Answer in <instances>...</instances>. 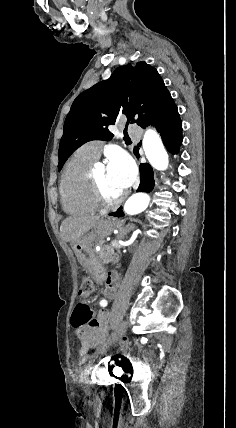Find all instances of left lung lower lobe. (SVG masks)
Segmentation results:
<instances>
[{"label": "left lung lower lobe", "instance_id": "0a47b994", "mask_svg": "<svg viewBox=\"0 0 236 428\" xmlns=\"http://www.w3.org/2000/svg\"><path fill=\"white\" fill-rule=\"evenodd\" d=\"M153 125L160 133L165 147L171 154L179 152L182 143V122L178 109L174 101L170 102L151 121L142 126ZM154 187L153 170L148 164L140 165V185L137 192H151ZM111 216L122 217L124 215L122 207Z\"/></svg>", "mask_w": 236, "mask_h": 428}]
</instances>
